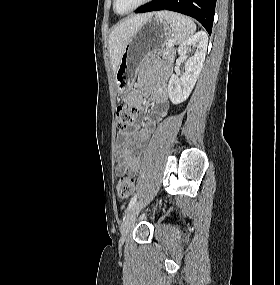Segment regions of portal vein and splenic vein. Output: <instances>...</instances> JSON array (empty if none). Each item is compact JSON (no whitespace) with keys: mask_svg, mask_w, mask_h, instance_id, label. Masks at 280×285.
<instances>
[{"mask_svg":"<svg viewBox=\"0 0 280 285\" xmlns=\"http://www.w3.org/2000/svg\"><path fill=\"white\" fill-rule=\"evenodd\" d=\"M167 46H169V47H172V46H174V43H173V41H172V40H169V41H168V43H167Z\"/></svg>","mask_w":280,"mask_h":285,"instance_id":"18ae733b","label":"portal vein and splenic vein"}]
</instances>
